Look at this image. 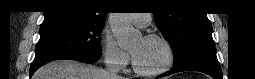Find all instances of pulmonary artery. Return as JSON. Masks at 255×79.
Segmentation results:
<instances>
[{
  "label": "pulmonary artery",
  "instance_id": "obj_1",
  "mask_svg": "<svg viewBox=\"0 0 255 79\" xmlns=\"http://www.w3.org/2000/svg\"><path fill=\"white\" fill-rule=\"evenodd\" d=\"M130 20L139 26L145 27L151 23V14H131Z\"/></svg>",
  "mask_w": 255,
  "mask_h": 79
}]
</instances>
